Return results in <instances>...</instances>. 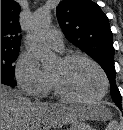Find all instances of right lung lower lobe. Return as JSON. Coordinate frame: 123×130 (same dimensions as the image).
I'll list each match as a JSON object with an SVG mask.
<instances>
[{
  "label": "right lung lower lobe",
  "instance_id": "obj_1",
  "mask_svg": "<svg viewBox=\"0 0 123 130\" xmlns=\"http://www.w3.org/2000/svg\"><path fill=\"white\" fill-rule=\"evenodd\" d=\"M1 83H2V84H5V85H11V86H13L12 84H10V83H8V82H6V81H3V80H1Z\"/></svg>",
  "mask_w": 123,
  "mask_h": 130
}]
</instances>
